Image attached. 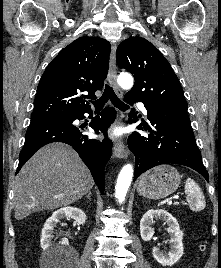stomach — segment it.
<instances>
[{
	"label": "stomach",
	"instance_id": "0dacf381",
	"mask_svg": "<svg viewBox=\"0 0 221 268\" xmlns=\"http://www.w3.org/2000/svg\"><path fill=\"white\" fill-rule=\"evenodd\" d=\"M181 176L171 165H160L144 173L138 183L137 192L150 199H161L172 194L179 186Z\"/></svg>",
	"mask_w": 221,
	"mask_h": 268
}]
</instances>
